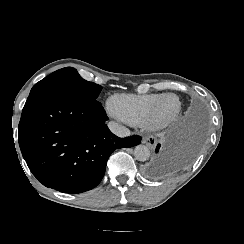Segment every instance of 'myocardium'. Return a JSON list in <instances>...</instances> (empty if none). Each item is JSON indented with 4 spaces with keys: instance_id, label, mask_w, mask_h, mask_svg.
<instances>
[{
    "instance_id": "myocardium-1",
    "label": "myocardium",
    "mask_w": 244,
    "mask_h": 244,
    "mask_svg": "<svg viewBox=\"0 0 244 244\" xmlns=\"http://www.w3.org/2000/svg\"><path fill=\"white\" fill-rule=\"evenodd\" d=\"M172 97L176 101V105L174 108L171 109L170 113L168 115L163 114L162 109V102L165 98ZM181 107L180 99L177 95L173 93H165L157 97L155 104H154V110L153 115L155 113H159V117L152 121V126L157 129L164 128L168 126L176 117ZM153 117V116H152Z\"/></svg>"
}]
</instances>
